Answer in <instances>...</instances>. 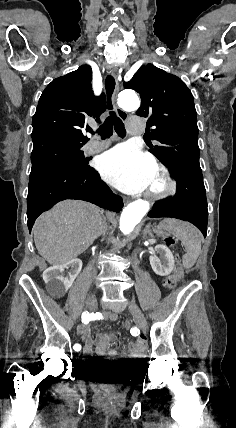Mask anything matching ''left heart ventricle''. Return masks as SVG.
Returning a JSON list of instances; mask_svg holds the SVG:
<instances>
[{
  "label": "left heart ventricle",
  "instance_id": "left-heart-ventricle-1",
  "mask_svg": "<svg viewBox=\"0 0 236 428\" xmlns=\"http://www.w3.org/2000/svg\"><path fill=\"white\" fill-rule=\"evenodd\" d=\"M161 187H162V181L160 177L156 173H154V176L147 189H160Z\"/></svg>",
  "mask_w": 236,
  "mask_h": 428
}]
</instances>
